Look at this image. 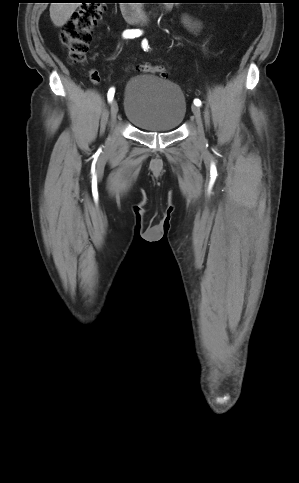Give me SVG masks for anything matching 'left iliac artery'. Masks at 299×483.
<instances>
[{
	"instance_id": "1",
	"label": "left iliac artery",
	"mask_w": 299,
	"mask_h": 483,
	"mask_svg": "<svg viewBox=\"0 0 299 483\" xmlns=\"http://www.w3.org/2000/svg\"><path fill=\"white\" fill-rule=\"evenodd\" d=\"M142 47L145 51L148 50L149 46H148V41L146 39L142 41ZM194 104L196 106H201V101L199 99H195Z\"/></svg>"
}]
</instances>
